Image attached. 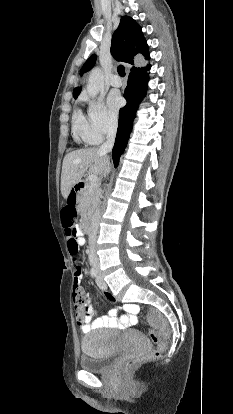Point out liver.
I'll list each match as a JSON object with an SVG mask.
<instances>
[{
    "instance_id": "6515ba94",
    "label": "liver",
    "mask_w": 233,
    "mask_h": 414,
    "mask_svg": "<svg viewBox=\"0 0 233 414\" xmlns=\"http://www.w3.org/2000/svg\"><path fill=\"white\" fill-rule=\"evenodd\" d=\"M79 161V163H75ZM110 164L106 154L99 153L98 148L79 149L68 153L63 160L61 173V193L67 199L72 187L89 169V174L102 175Z\"/></svg>"
}]
</instances>
